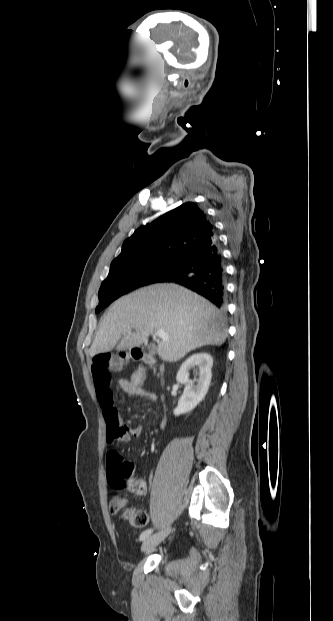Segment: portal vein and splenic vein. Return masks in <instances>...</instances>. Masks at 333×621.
<instances>
[{"label": "portal vein and splenic vein", "instance_id": "portal-vein-and-splenic-vein-1", "mask_svg": "<svg viewBox=\"0 0 333 621\" xmlns=\"http://www.w3.org/2000/svg\"><path fill=\"white\" fill-rule=\"evenodd\" d=\"M156 336H157L158 338L163 339V340H167V339H168V337H167V335H166V333L164 332V330H163V329H159V330H157V331H156Z\"/></svg>", "mask_w": 333, "mask_h": 621}]
</instances>
